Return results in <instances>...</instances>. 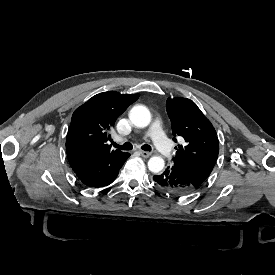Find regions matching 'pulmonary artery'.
Wrapping results in <instances>:
<instances>
[{
	"label": "pulmonary artery",
	"mask_w": 275,
	"mask_h": 275,
	"mask_svg": "<svg viewBox=\"0 0 275 275\" xmlns=\"http://www.w3.org/2000/svg\"><path fill=\"white\" fill-rule=\"evenodd\" d=\"M146 136L151 135V130H147L144 132ZM127 140L125 138H117L115 142L119 145H122L126 142ZM151 141L154 143V147L156 149V152L160 155L163 156L164 158H171L173 156V151L169 148V143L167 141V137L165 136V133L162 130V127L158 125V122H155L153 131H152V136H151Z\"/></svg>",
	"instance_id": "pulmonary-artery-1"
}]
</instances>
